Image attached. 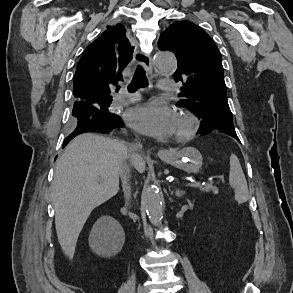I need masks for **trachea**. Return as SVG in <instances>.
Returning a JSON list of instances; mask_svg holds the SVG:
<instances>
[{
	"mask_svg": "<svg viewBox=\"0 0 293 293\" xmlns=\"http://www.w3.org/2000/svg\"><path fill=\"white\" fill-rule=\"evenodd\" d=\"M148 81L145 70L139 65L136 68L133 79L128 86L130 92L137 91L139 88L147 87Z\"/></svg>",
	"mask_w": 293,
	"mask_h": 293,
	"instance_id": "trachea-1",
	"label": "trachea"
}]
</instances>
